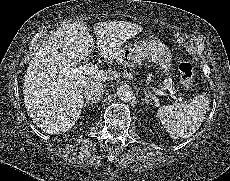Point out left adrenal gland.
I'll use <instances>...</instances> for the list:
<instances>
[{
    "mask_svg": "<svg viewBox=\"0 0 230 181\" xmlns=\"http://www.w3.org/2000/svg\"><path fill=\"white\" fill-rule=\"evenodd\" d=\"M144 93H145V95H146L145 101H146V103H148V98H149L151 95L147 93V90H146V89H144Z\"/></svg>",
    "mask_w": 230,
    "mask_h": 181,
    "instance_id": "obj_1",
    "label": "left adrenal gland"
}]
</instances>
